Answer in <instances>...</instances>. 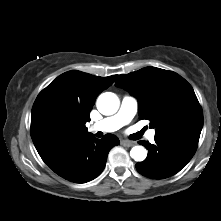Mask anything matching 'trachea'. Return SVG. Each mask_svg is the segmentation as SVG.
I'll list each match as a JSON object with an SVG mask.
<instances>
[{
    "label": "trachea",
    "mask_w": 221,
    "mask_h": 221,
    "mask_svg": "<svg viewBox=\"0 0 221 221\" xmlns=\"http://www.w3.org/2000/svg\"><path fill=\"white\" fill-rule=\"evenodd\" d=\"M144 131H145V129L141 130L140 132H138V133H136V134H133V135H132V138H133L134 140L139 139V138L142 136V134H143Z\"/></svg>",
    "instance_id": "1"
}]
</instances>
